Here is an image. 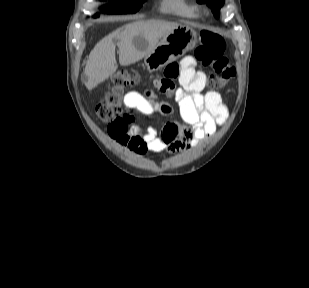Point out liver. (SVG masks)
Returning a JSON list of instances; mask_svg holds the SVG:
<instances>
[{
	"mask_svg": "<svg viewBox=\"0 0 309 288\" xmlns=\"http://www.w3.org/2000/svg\"><path fill=\"white\" fill-rule=\"evenodd\" d=\"M179 24L164 20H137L113 31L100 40L91 51L85 66V85L92 89L113 75L118 66L115 57L116 45L119 48V63L122 66L133 64L151 53L159 41ZM142 36L147 42L144 50L138 49L134 38Z\"/></svg>",
	"mask_w": 309,
	"mask_h": 288,
	"instance_id": "liver-1",
	"label": "liver"
}]
</instances>
